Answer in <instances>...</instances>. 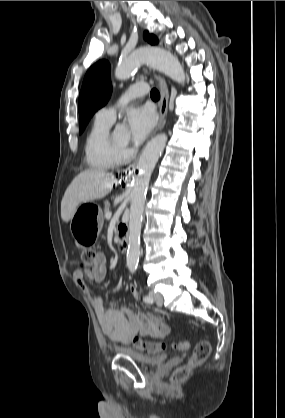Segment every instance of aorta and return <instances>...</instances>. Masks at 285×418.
<instances>
[{"label": "aorta", "mask_w": 285, "mask_h": 418, "mask_svg": "<svg viewBox=\"0 0 285 418\" xmlns=\"http://www.w3.org/2000/svg\"><path fill=\"white\" fill-rule=\"evenodd\" d=\"M142 63L163 72L173 81L184 83L185 72L179 60L161 48H143L124 57L115 70V77L126 80ZM167 142V135L160 134L151 139L142 151L137 164V174L133 178L130 194L129 240L126 264L131 272L137 269L140 255V234L146 194L155 165Z\"/></svg>", "instance_id": "obj_1"}]
</instances>
